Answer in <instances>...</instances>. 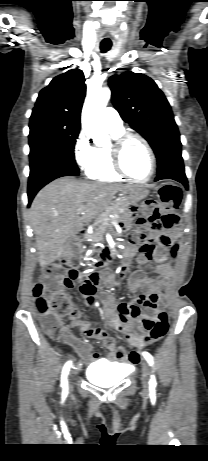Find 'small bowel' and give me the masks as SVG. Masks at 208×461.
<instances>
[{"instance_id":"c3829d8e","label":"small bowel","mask_w":208,"mask_h":461,"mask_svg":"<svg viewBox=\"0 0 208 461\" xmlns=\"http://www.w3.org/2000/svg\"><path fill=\"white\" fill-rule=\"evenodd\" d=\"M141 204H126L125 211L131 217L141 216ZM129 218L128 216L126 217ZM181 239L179 229H160L159 231V248L171 251H142L133 244L125 247L126 259L136 257L139 265L155 272L156 279L148 278L141 270L134 271L127 279L128 287L132 292L141 291L142 294L133 299L130 303H119L114 294H105L101 299L103 315L108 324L117 332L123 334L128 340H140L143 331L146 330V320L153 319V315L159 312L161 305L166 304L170 299L169 286L173 279L172 266L178 261V253L181 246L178 242ZM127 262L123 265V272L126 271ZM68 272L73 274L79 268L78 260L68 261ZM111 276L109 271H90L89 277H81L77 289L80 292L81 299H86L88 306H94L98 289L103 284H113L108 278ZM69 298L74 296L72 291L67 293ZM143 311H149L153 315H143ZM72 319V320H71ZM71 320V327H62L64 338L60 340L67 346L72 347L79 357L86 362L98 360L100 355L93 351L91 345L75 336L71 329L78 328L86 336L102 341L105 347L110 351L107 356L109 361L121 363L126 372H129V366L139 359V354L128 352L125 347L116 348L115 340L107 332L95 327L90 321H82L73 318L71 313H66L60 318L62 323Z\"/></svg>"}]
</instances>
